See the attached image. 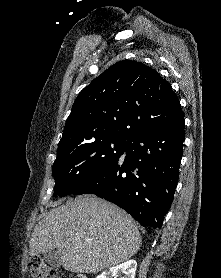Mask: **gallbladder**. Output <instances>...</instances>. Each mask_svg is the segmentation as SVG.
Returning <instances> with one entry per match:
<instances>
[{
    "label": "gallbladder",
    "mask_w": 221,
    "mask_h": 278,
    "mask_svg": "<svg viewBox=\"0 0 221 278\" xmlns=\"http://www.w3.org/2000/svg\"><path fill=\"white\" fill-rule=\"evenodd\" d=\"M43 259L48 265H50L53 268H58L61 266V260L56 249L44 253Z\"/></svg>",
    "instance_id": "bac80fb5"
}]
</instances>
